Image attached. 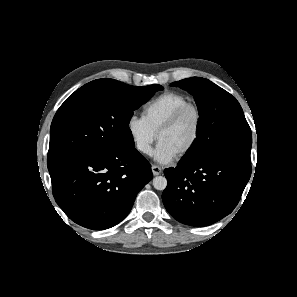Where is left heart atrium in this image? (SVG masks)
Instances as JSON below:
<instances>
[{"instance_id": "obj_1", "label": "left heart atrium", "mask_w": 297, "mask_h": 297, "mask_svg": "<svg viewBox=\"0 0 297 297\" xmlns=\"http://www.w3.org/2000/svg\"><path fill=\"white\" fill-rule=\"evenodd\" d=\"M154 159L161 164H167L173 161L178 154L164 142H158L154 152Z\"/></svg>"}]
</instances>
